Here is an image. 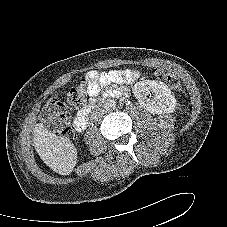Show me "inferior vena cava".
<instances>
[{
  "mask_svg": "<svg viewBox=\"0 0 227 227\" xmlns=\"http://www.w3.org/2000/svg\"><path fill=\"white\" fill-rule=\"evenodd\" d=\"M104 115V109L103 108H94L90 113V120L96 121Z\"/></svg>",
  "mask_w": 227,
  "mask_h": 227,
  "instance_id": "obj_1",
  "label": "inferior vena cava"
}]
</instances>
